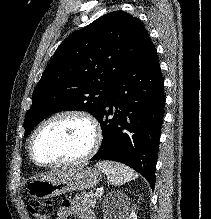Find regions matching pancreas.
<instances>
[{"label":"pancreas","instance_id":"pancreas-1","mask_svg":"<svg viewBox=\"0 0 211 219\" xmlns=\"http://www.w3.org/2000/svg\"><path fill=\"white\" fill-rule=\"evenodd\" d=\"M83 196V202L91 206L92 208H95L96 202H97V196L93 192H84L82 194Z\"/></svg>","mask_w":211,"mask_h":219}]
</instances>
